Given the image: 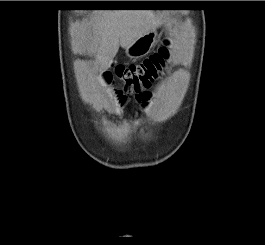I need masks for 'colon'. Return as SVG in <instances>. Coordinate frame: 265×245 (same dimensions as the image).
<instances>
[{
  "mask_svg": "<svg viewBox=\"0 0 265 245\" xmlns=\"http://www.w3.org/2000/svg\"><path fill=\"white\" fill-rule=\"evenodd\" d=\"M169 41L165 40L160 50L135 64H116L106 77L109 82L116 78L119 83L114 87L118 102L123 104L128 96L148 89L159 77L162 68L169 59Z\"/></svg>",
  "mask_w": 265,
  "mask_h": 245,
  "instance_id": "obj_1",
  "label": "colon"
}]
</instances>
